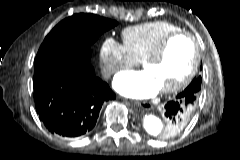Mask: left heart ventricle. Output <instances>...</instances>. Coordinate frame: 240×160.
I'll return each instance as SVG.
<instances>
[{
	"mask_svg": "<svg viewBox=\"0 0 240 160\" xmlns=\"http://www.w3.org/2000/svg\"><path fill=\"white\" fill-rule=\"evenodd\" d=\"M194 60V50L186 37L173 39L163 57L144 67L157 82L159 88L174 85L186 76Z\"/></svg>",
	"mask_w": 240,
	"mask_h": 160,
	"instance_id": "b2bd125f",
	"label": "left heart ventricle"
}]
</instances>
